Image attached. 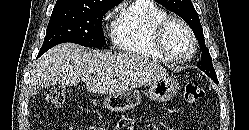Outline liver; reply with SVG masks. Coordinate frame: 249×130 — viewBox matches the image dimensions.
Masks as SVG:
<instances>
[{
    "label": "liver",
    "instance_id": "liver-1",
    "mask_svg": "<svg viewBox=\"0 0 249 130\" xmlns=\"http://www.w3.org/2000/svg\"><path fill=\"white\" fill-rule=\"evenodd\" d=\"M168 76L166 70L147 58L121 53L85 50L65 43L39 58L31 75V85L76 86L80 80L95 94L122 93Z\"/></svg>",
    "mask_w": 249,
    "mask_h": 130
}]
</instances>
